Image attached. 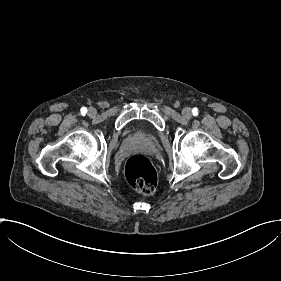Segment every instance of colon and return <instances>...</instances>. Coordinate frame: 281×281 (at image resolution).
Listing matches in <instances>:
<instances>
[{
	"label": "colon",
	"mask_w": 281,
	"mask_h": 281,
	"mask_svg": "<svg viewBox=\"0 0 281 281\" xmlns=\"http://www.w3.org/2000/svg\"><path fill=\"white\" fill-rule=\"evenodd\" d=\"M125 176L130 186L138 191L149 192L157 186V173L142 155H132L127 159Z\"/></svg>",
	"instance_id": "5ec220e1"
}]
</instances>
